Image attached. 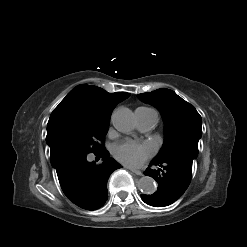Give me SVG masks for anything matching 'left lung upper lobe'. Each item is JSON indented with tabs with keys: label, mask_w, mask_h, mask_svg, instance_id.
<instances>
[{
	"label": "left lung upper lobe",
	"mask_w": 247,
	"mask_h": 247,
	"mask_svg": "<svg viewBox=\"0 0 247 247\" xmlns=\"http://www.w3.org/2000/svg\"><path fill=\"white\" fill-rule=\"evenodd\" d=\"M138 98L155 106L165 122V142L155 159L173 156L197 158L202 134V119L197 110L174 91L165 88L139 94Z\"/></svg>",
	"instance_id": "left-lung-upper-lobe-1"
}]
</instances>
